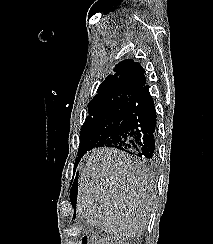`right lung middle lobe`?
Segmentation results:
<instances>
[{
	"mask_svg": "<svg viewBox=\"0 0 213 244\" xmlns=\"http://www.w3.org/2000/svg\"><path fill=\"white\" fill-rule=\"evenodd\" d=\"M135 98L131 95H116L91 101L88 106L89 116L80 133L78 155L115 134L120 123L130 114Z\"/></svg>",
	"mask_w": 213,
	"mask_h": 244,
	"instance_id": "1",
	"label": "right lung middle lobe"
}]
</instances>
